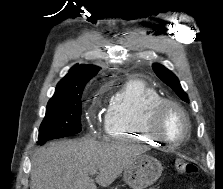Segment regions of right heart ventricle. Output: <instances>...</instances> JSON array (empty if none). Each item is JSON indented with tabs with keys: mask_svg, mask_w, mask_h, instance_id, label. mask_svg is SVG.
Here are the masks:
<instances>
[{
	"mask_svg": "<svg viewBox=\"0 0 223 189\" xmlns=\"http://www.w3.org/2000/svg\"><path fill=\"white\" fill-rule=\"evenodd\" d=\"M161 98L148 84L140 80L127 81L109 100L104 119L106 137L160 144L146 130V118L150 108Z\"/></svg>",
	"mask_w": 223,
	"mask_h": 189,
	"instance_id": "right-heart-ventricle-1",
	"label": "right heart ventricle"
}]
</instances>
